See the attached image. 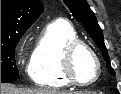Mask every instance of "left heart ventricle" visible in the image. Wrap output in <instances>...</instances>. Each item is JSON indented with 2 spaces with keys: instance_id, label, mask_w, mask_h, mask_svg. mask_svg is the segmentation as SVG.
I'll return each mask as SVG.
<instances>
[{
  "instance_id": "left-heart-ventricle-1",
  "label": "left heart ventricle",
  "mask_w": 121,
  "mask_h": 94,
  "mask_svg": "<svg viewBox=\"0 0 121 94\" xmlns=\"http://www.w3.org/2000/svg\"><path fill=\"white\" fill-rule=\"evenodd\" d=\"M73 68L75 75L82 82L93 80L97 74V64L93 56L83 47L79 48L74 56Z\"/></svg>"
}]
</instances>
